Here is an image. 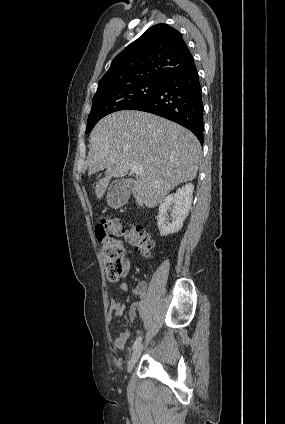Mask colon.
I'll use <instances>...</instances> for the list:
<instances>
[{"label":"colon","instance_id":"obj_1","mask_svg":"<svg viewBox=\"0 0 285 424\" xmlns=\"http://www.w3.org/2000/svg\"><path fill=\"white\" fill-rule=\"evenodd\" d=\"M95 236L102 245V256L106 275L116 280L126 267V251L123 244L116 238L123 236L145 256H151L154 242L141 226L128 227L118 218H102L95 225Z\"/></svg>","mask_w":285,"mask_h":424}]
</instances>
